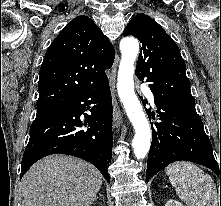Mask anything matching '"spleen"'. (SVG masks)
I'll list each match as a JSON object with an SVG mask.
<instances>
[{
  "mask_svg": "<svg viewBox=\"0 0 221 206\" xmlns=\"http://www.w3.org/2000/svg\"><path fill=\"white\" fill-rule=\"evenodd\" d=\"M178 197L188 206H218L219 196L210 175L193 163L180 161L167 167Z\"/></svg>",
  "mask_w": 221,
  "mask_h": 206,
  "instance_id": "obj_1",
  "label": "spleen"
}]
</instances>
